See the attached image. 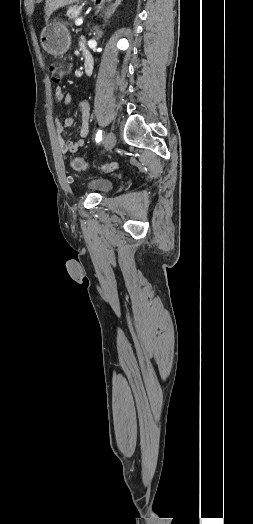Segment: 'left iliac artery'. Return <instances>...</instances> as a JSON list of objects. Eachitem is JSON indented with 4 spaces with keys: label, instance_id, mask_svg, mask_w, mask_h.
Wrapping results in <instances>:
<instances>
[{
    "label": "left iliac artery",
    "instance_id": "44dca946",
    "mask_svg": "<svg viewBox=\"0 0 253 524\" xmlns=\"http://www.w3.org/2000/svg\"><path fill=\"white\" fill-rule=\"evenodd\" d=\"M101 139H102V131L99 130L97 132V134H96V139L95 140H96L97 143H99L101 141Z\"/></svg>",
    "mask_w": 253,
    "mask_h": 524
}]
</instances>
